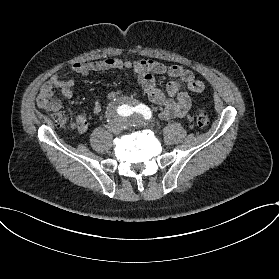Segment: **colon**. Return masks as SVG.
Segmentation results:
<instances>
[{
    "instance_id": "1",
    "label": "colon",
    "mask_w": 279,
    "mask_h": 279,
    "mask_svg": "<svg viewBox=\"0 0 279 279\" xmlns=\"http://www.w3.org/2000/svg\"><path fill=\"white\" fill-rule=\"evenodd\" d=\"M195 120H196V125L199 128L203 129V128L207 127L209 124V115L206 111L199 110L196 113ZM55 122L61 127L70 128L69 127L70 124L67 123L63 117H60V116L56 117Z\"/></svg>"
}]
</instances>
